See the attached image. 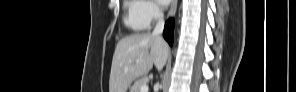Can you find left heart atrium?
<instances>
[{"mask_svg": "<svg viewBox=\"0 0 296 92\" xmlns=\"http://www.w3.org/2000/svg\"><path fill=\"white\" fill-rule=\"evenodd\" d=\"M157 2L162 6H165L169 3V1H167V0H158Z\"/></svg>", "mask_w": 296, "mask_h": 92, "instance_id": "obj_1", "label": "left heart atrium"}]
</instances>
